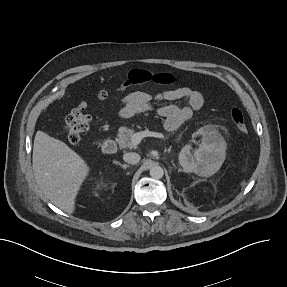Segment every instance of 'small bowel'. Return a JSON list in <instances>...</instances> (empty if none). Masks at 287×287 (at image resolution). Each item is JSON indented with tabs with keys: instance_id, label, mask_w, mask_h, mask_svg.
<instances>
[{
	"instance_id": "small-bowel-1",
	"label": "small bowel",
	"mask_w": 287,
	"mask_h": 287,
	"mask_svg": "<svg viewBox=\"0 0 287 287\" xmlns=\"http://www.w3.org/2000/svg\"><path fill=\"white\" fill-rule=\"evenodd\" d=\"M179 101L187 105L181 106ZM159 102L166 104L157 107ZM204 105L203 95L188 87L165 90L156 94L145 91H134L126 95L121 101L119 116L127 119L138 113L154 111L165 120V127L170 131L179 129L187 122L195 111Z\"/></svg>"
}]
</instances>
